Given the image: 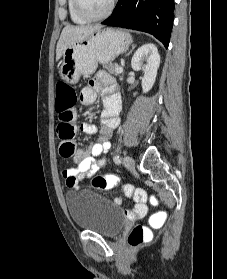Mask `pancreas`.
<instances>
[{"label":"pancreas","mask_w":227,"mask_h":279,"mask_svg":"<svg viewBox=\"0 0 227 279\" xmlns=\"http://www.w3.org/2000/svg\"><path fill=\"white\" fill-rule=\"evenodd\" d=\"M119 67L118 64L116 63H108L103 65V68L106 69L109 73L114 74V75H119L120 73L116 72V68Z\"/></svg>","instance_id":"cf45deb5"}]
</instances>
